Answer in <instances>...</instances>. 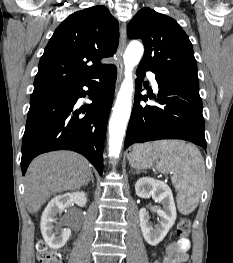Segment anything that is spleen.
I'll return each mask as SVG.
<instances>
[{"label":"spleen","instance_id":"obj_1","mask_svg":"<svg viewBox=\"0 0 233 263\" xmlns=\"http://www.w3.org/2000/svg\"><path fill=\"white\" fill-rule=\"evenodd\" d=\"M160 154L156 168L170 173L177 192V208L187 215L198 206L205 180V163L199 149L182 140H162L153 143Z\"/></svg>","mask_w":233,"mask_h":263}]
</instances>
